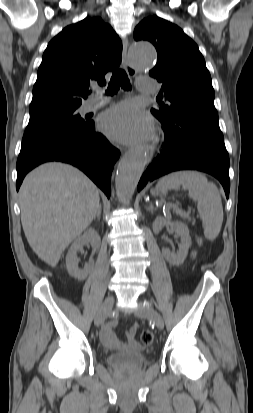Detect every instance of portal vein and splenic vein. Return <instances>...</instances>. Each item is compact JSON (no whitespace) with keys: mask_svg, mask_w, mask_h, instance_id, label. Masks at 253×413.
I'll use <instances>...</instances> for the list:
<instances>
[{"mask_svg":"<svg viewBox=\"0 0 253 413\" xmlns=\"http://www.w3.org/2000/svg\"><path fill=\"white\" fill-rule=\"evenodd\" d=\"M176 212L179 213V214H181V215L187 216V214H186L185 212L180 211V210H178L177 208H176Z\"/></svg>","mask_w":253,"mask_h":413,"instance_id":"portal-vein-and-splenic-vein-1","label":"portal vein and splenic vein"}]
</instances>
